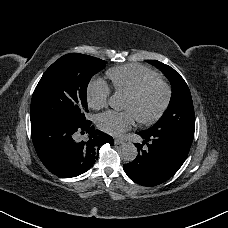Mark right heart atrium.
<instances>
[{"label":"right heart atrium","instance_id":"1","mask_svg":"<svg viewBox=\"0 0 228 228\" xmlns=\"http://www.w3.org/2000/svg\"><path fill=\"white\" fill-rule=\"evenodd\" d=\"M111 96L109 86L103 81L92 82L89 85L87 98L89 106L94 110H100L107 106Z\"/></svg>","mask_w":228,"mask_h":228}]
</instances>
